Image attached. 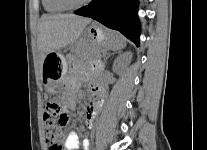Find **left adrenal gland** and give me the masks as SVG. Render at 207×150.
<instances>
[{
	"instance_id": "a2214340",
	"label": "left adrenal gland",
	"mask_w": 207,
	"mask_h": 150,
	"mask_svg": "<svg viewBox=\"0 0 207 150\" xmlns=\"http://www.w3.org/2000/svg\"><path fill=\"white\" fill-rule=\"evenodd\" d=\"M112 54H105L104 55V64H106L107 63V60H108V58L111 56Z\"/></svg>"
}]
</instances>
